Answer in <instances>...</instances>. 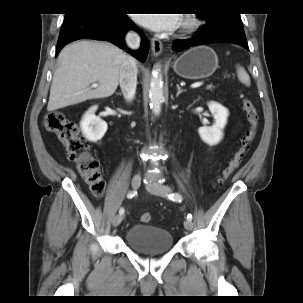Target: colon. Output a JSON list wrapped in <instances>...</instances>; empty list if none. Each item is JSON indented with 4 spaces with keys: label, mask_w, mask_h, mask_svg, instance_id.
Returning <instances> with one entry per match:
<instances>
[{
    "label": "colon",
    "mask_w": 303,
    "mask_h": 303,
    "mask_svg": "<svg viewBox=\"0 0 303 303\" xmlns=\"http://www.w3.org/2000/svg\"><path fill=\"white\" fill-rule=\"evenodd\" d=\"M240 98L249 128L242 137L238 149L221 170L220 181L226 180L239 168L257 134L259 116L256 107L243 92L240 93ZM44 127L48 132L57 135L59 141L66 147L70 160L76 163L79 174L89 184L93 195L100 198L104 192L105 183L99 171V161L90 153L88 143L79 137L77 126L67 120L63 113L54 111L45 116ZM139 220L148 223L151 220V214L144 212L140 214Z\"/></svg>",
    "instance_id": "obj_1"
}]
</instances>
